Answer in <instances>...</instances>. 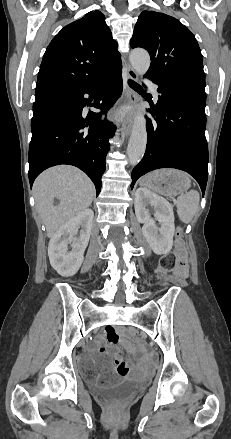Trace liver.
I'll return each mask as SVG.
<instances>
[{
	"mask_svg": "<svg viewBox=\"0 0 231 439\" xmlns=\"http://www.w3.org/2000/svg\"><path fill=\"white\" fill-rule=\"evenodd\" d=\"M33 192L37 212L51 238L67 221L90 206L95 187L78 168L61 165L41 173L34 182ZM55 198L58 205H54Z\"/></svg>",
	"mask_w": 231,
	"mask_h": 439,
	"instance_id": "1",
	"label": "liver"
}]
</instances>
